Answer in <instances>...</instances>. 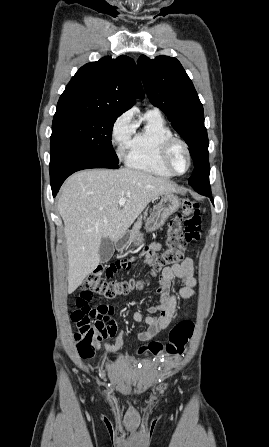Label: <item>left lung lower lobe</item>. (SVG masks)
I'll return each instance as SVG.
<instances>
[{
	"mask_svg": "<svg viewBox=\"0 0 269 447\" xmlns=\"http://www.w3.org/2000/svg\"><path fill=\"white\" fill-rule=\"evenodd\" d=\"M198 193L203 194L208 196L209 198H211V190H210V186H195L193 187ZM212 202L213 199L211 198Z\"/></svg>",
	"mask_w": 269,
	"mask_h": 447,
	"instance_id": "left-lung-lower-lobe-1",
	"label": "left lung lower lobe"
}]
</instances>
